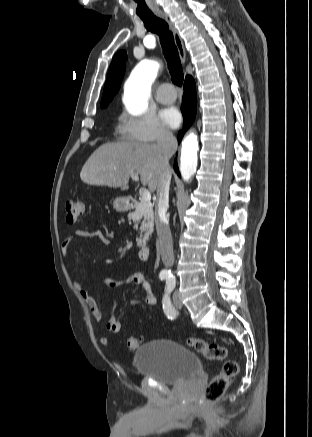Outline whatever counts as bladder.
I'll return each instance as SVG.
<instances>
[{
    "label": "bladder",
    "mask_w": 312,
    "mask_h": 437,
    "mask_svg": "<svg viewBox=\"0 0 312 437\" xmlns=\"http://www.w3.org/2000/svg\"><path fill=\"white\" fill-rule=\"evenodd\" d=\"M134 365L139 375L169 385L202 373L201 362L193 351L167 339L152 340L138 348Z\"/></svg>",
    "instance_id": "31cf9c89"
}]
</instances>
